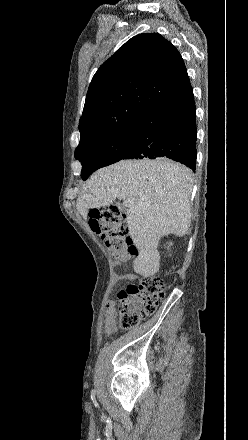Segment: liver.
Instances as JSON below:
<instances>
[{"label": "liver", "mask_w": 248, "mask_h": 440, "mask_svg": "<svg viewBox=\"0 0 248 440\" xmlns=\"http://www.w3.org/2000/svg\"><path fill=\"white\" fill-rule=\"evenodd\" d=\"M77 199V210L87 219L92 208L110 205L116 198L133 200L126 222L139 255L134 269L154 274L160 267L161 237H182L191 224L192 172L165 158L122 160L96 171Z\"/></svg>", "instance_id": "liver-1"}]
</instances>
